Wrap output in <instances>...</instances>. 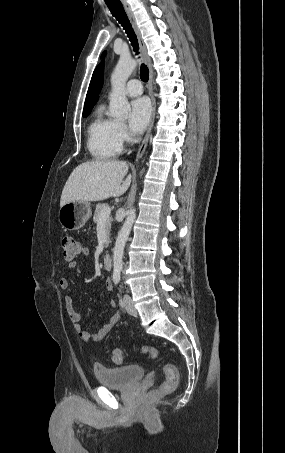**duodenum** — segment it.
<instances>
[{"label": "duodenum", "mask_w": 285, "mask_h": 453, "mask_svg": "<svg viewBox=\"0 0 285 453\" xmlns=\"http://www.w3.org/2000/svg\"><path fill=\"white\" fill-rule=\"evenodd\" d=\"M102 261L106 269H110L112 267V256L110 254H104Z\"/></svg>", "instance_id": "1"}]
</instances>
